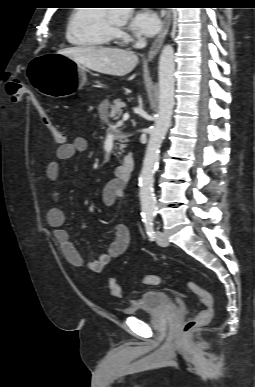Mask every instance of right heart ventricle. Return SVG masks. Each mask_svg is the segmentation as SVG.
<instances>
[{"label": "right heart ventricle", "mask_w": 255, "mask_h": 387, "mask_svg": "<svg viewBox=\"0 0 255 387\" xmlns=\"http://www.w3.org/2000/svg\"><path fill=\"white\" fill-rule=\"evenodd\" d=\"M115 35L107 10L102 7H78L69 15L66 38L72 45L85 48L105 47L112 43Z\"/></svg>", "instance_id": "obj_1"}]
</instances>
